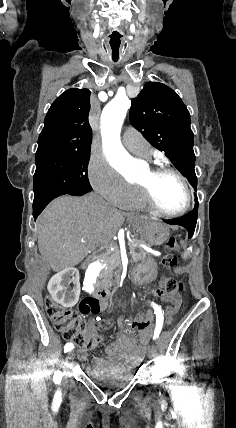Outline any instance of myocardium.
<instances>
[{"instance_id":"f54148a6","label":"myocardium","mask_w":236,"mask_h":428,"mask_svg":"<svg viewBox=\"0 0 236 428\" xmlns=\"http://www.w3.org/2000/svg\"><path fill=\"white\" fill-rule=\"evenodd\" d=\"M148 172H149L148 178L143 182L136 183V187H138V189L140 190L143 201L153 211H155L161 215H164V216H178V215H181V214H183L189 210V208L191 207V202H192V191H191L190 182L183 173H181L176 168L169 166V165H165V164L157 165V166L149 169ZM164 174H171V175L177 177L182 182V184L185 188L186 201L180 209L173 210V211L166 210L159 204V202L157 201V199L155 197V194L153 191V182L158 177H160L161 175H164Z\"/></svg>"}]
</instances>
